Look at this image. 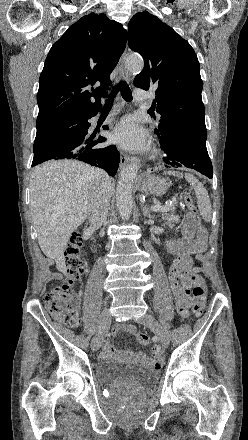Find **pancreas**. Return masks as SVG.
<instances>
[{"instance_id":"obj_1","label":"pancreas","mask_w":248,"mask_h":440,"mask_svg":"<svg viewBox=\"0 0 248 440\" xmlns=\"http://www.w3.org/2000/svg\"><path fill=\"white\" fill-rule=\"evenodd\" d=\"M170 210L162 213V219L165 220V225L173 227L174 223H179V216L175 215V206L171 205Z\"/></svg>"}]
</instances>
